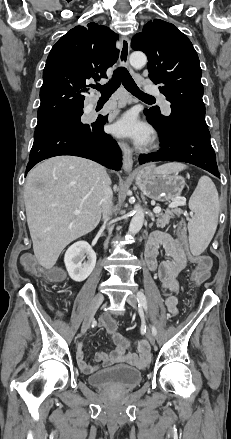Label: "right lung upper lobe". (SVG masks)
I'll use <instances>...</instances> for the list:
<instances>
[{
	"label": "right lung upper lobe",
	"mask_w": 231,
	"mask_h": 439,
	"mask_svg": "<svg viewBox=\"0 0 231 439\" xmlns=\"http://www.w3.org/2000/svg\"><path fill=\"white\" fill-rule=\"evenodd\" d=\"M117 35L106 26H76L51 49L43 71L38 119L82 109L86 80L107 78L118 59Z\"/></svg>",
	"instance_id": "cb5924a9"
}]
</instances>
